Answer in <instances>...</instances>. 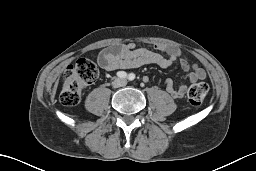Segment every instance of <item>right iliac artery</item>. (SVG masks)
I'll return each instance as SVG.
<instances>
[{
    "instance_id": "82829eb1",
    "label": "right iliac artery",
    "mask_w": 256,
    "mask_h": 171,
    "mask_svg": "<svg viewBox=\"0 0 256 171\" xmlns=\"http://www.w3.org/2000/svg\"><path fill=\"white\" fill-rule=\"evenodd\" d=\"M117 76L120 78H127L128 74L124 71L117 72Z\"/></svg>"
}]
</instances>
